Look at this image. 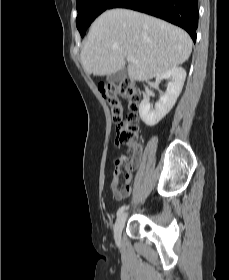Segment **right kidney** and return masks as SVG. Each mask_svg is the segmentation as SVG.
<instances>
[{
  "mask_svg": "<svg viewBox=\"0 0 229 280\" xmlns=\"http://www.w3.org/2000/svg\"><path fill=\"white\" fill-rule=\"evenodd\" d=\"M185 78L186 71L182 67L172 68L156 77V81L158 82L164 79L170 82L168 83L166 92L155 104V109L152 108L148 98L142 100L139 106V114L146 125H156L170 112L182 91Z\"/></svg>",
  "mask_w": 229,
  "mask_h": 280,
  "instance_id": "obj_1",
  "label": "right kidney"
}]
</instances>
